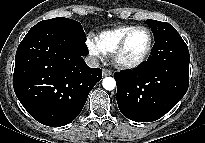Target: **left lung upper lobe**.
<instances>
[{
	"mask_svg": "<svg viewBox=\"0 0 205 143\" xmlns=\"http://www.w3.org/2000/svg\"><path fill=\"white\" fill-rule=\"evenodd\" d=\"M146 23L151 28L155 41L169 33L177 31L171 24L166 22L147 20Z\"/></svg>",
	"mask_w": 205,
	"mask_h": 143,
	"instance_id": "5c2ea615",
	"label": "left lung upper lobe"
}]
</instances>
